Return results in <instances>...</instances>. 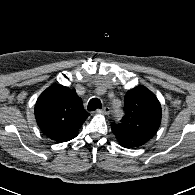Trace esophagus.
I'll return each instance as SVG.
<instances>
[{"instance_id":"esophagus-1","label":"esophagus","mask_w":195,"mask_h":195,"mask_svg":"<svg viewBox=\"0 0 195 195\" xmlns=\"http://www.w3.org/2000/svg\"><path fill=\"white\" fill-rule=\"evenodd\" d=\"M98 111H100V112H102L104 114H109L110 113V107L105 106V107H103L102 109H100Z\"/></svg>"}]
</instances>
